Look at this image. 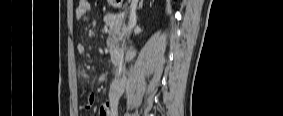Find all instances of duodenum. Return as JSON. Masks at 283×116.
Listing matches in <instances>:
<instances>
[{"label":"duodenum","mask_w":283,"mask_h":116,"mask_svg":"<svg viewBox=\"0 0 283 116\" xmlns=\"http://www.w3.org/2000/svg\"><path fill=\"white\" fill-rule=\"evenodd\" d=\"M112 61L116 64V65H120L123 63L124 61V54L122 51L120 50H115L112 52ZM123 82L121 80L120 77H116L114 78V80L112 81L111 84V89L115 90L117 88H120L122 86Z\"/></svg>","instance_id":"1"}]
</instances>
